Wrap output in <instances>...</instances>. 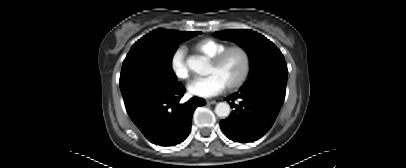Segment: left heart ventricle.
I'll return each mask as SVG.
<instances>
[{"label":"left heart ventricle","instance_id":"1","mask_svg":"<svg viewBox=\"0 0 406 168\" xmlns=\"http://www.w3.org/2000/svg\"><path fill=\"white\" fill-rule=\"evenodd\" d=\"M243 70V58L238 51L230 52L219 66L209 64L206 74L216 75L226 86L234 83Z\"/></svg>","mask_w":406,"mask_h":168}]
</instances>
